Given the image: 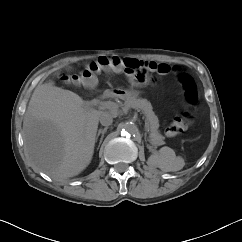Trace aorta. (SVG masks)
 <instances>
[{"mask_svg":"<svg viewBox=\"0 0 242 242\" xmlns=\"http://www.w3.org/2000/svg\"><path fill=\"white\" fill-rule=\"evenodd\" d=\"M123 130L130 135H134L138 132V128L133 122H126L123 126Z\"/></svg>","mask_w":242,"mask_h":242,"instance_id":"1","label":"aorta"}]
</instances>
